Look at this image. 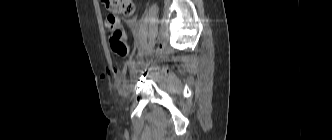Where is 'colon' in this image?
I'll list each match as a JSON object with an SVG mask.
<instances>
[{
    "instance_id": "1",
    "label": "colon",
    "mask_w": 332,
    "mask_h": 140,
    "mask_svg": "<svg viewBox=\"0 0 332 140\" xmlns=\"http://www.w3.org/2000/svg\"><path fill=\"white\" fill-rule=\"evenodd\" d=\"M110 12L104 19V25L110 34L111 49L119 55L127 53L126 35L117 15L131 16L134 12L132 0H101Z\"/></svg>"
}]
</instances>
